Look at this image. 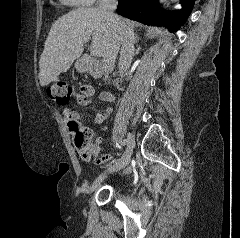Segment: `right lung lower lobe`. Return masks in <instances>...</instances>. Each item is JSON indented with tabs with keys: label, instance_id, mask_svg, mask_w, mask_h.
I'll return each instance as SVG.
<instances>
[{
	"label": "right lung lower lobe",
	"instance_id": "1",
	"mask_svg": "<svg viewBox=\"0 0 240 238\" xmlns=\"http://www.w3.org/2000/svg\"><path fill=\"white\" fill-rule=\"evenodd\" d=\"M195 0H181L183 8L175 13L160 8L158 0H119L117 13L148 25H164L176 31L188 18Z\"/></svg>",
	"mask_w": 240,
	"mask_h": 238
}]
</instances>
